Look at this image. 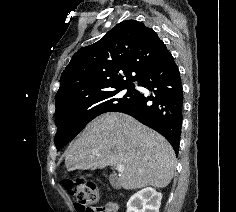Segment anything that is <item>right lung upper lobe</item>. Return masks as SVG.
<instances>
[{"label":"right lung upper lobe","instance_id":"1","mask_svg":"<svg viewBox=\"0 0 236 212\" xmlns=\"http://www.w3.org/2000/svg\"><path fill=\"white\" fill-rule=\"evenodd\" d=\"M166 49L156 32L142 22L119 23L72 56L60 78L56 111L91 95L134 85Z\"/></svg>","mask_w":236,"mask_h":212}]
</instances>
